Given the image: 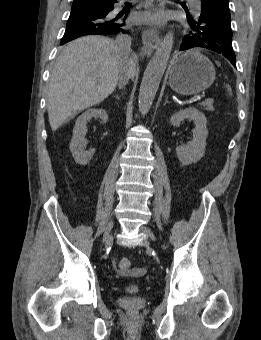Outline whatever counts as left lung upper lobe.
I'll return each instance as SVG.
<instances>
[{
	"label": "left lung upper lobe",
	"mask_w": 261,
	"mask_h": 340,
	"mask_svg": "<svg viewBox=\"0 0 261 340\" xmlns=\"http://www.w3.org/2000/svg\"><path fill=\"white\" fill-rule=\"evenodd\" d=\"M194 28L188 32V35H195L200 42V47L208 48L220 54L232 48V31L230 19H221L216 17L209 22H196Z\"/></svg>",
	"instance_id": "5c2ea615"
}]
</instances>
